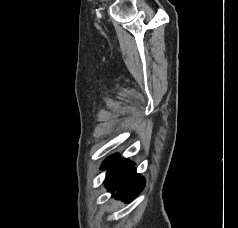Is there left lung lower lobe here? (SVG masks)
<instances>
[{
    "label": "left lung lower lobe",
    "instance_id": "1",
    "mask_svg": "<svg viewBox=\"0 0 238 228\" xmlns=\"http://www.w3.org/2000/svg\"><path fill=\"white\" fill-rule=\"evenodd\" d=\"M103 165L108 169L105 186L113 197L130 202L143 190L145 180L136 173L132 162L110 156Z\"/></svg>",
    "mask_w": 238,
    "mask_h": 228
}]
</instances>
